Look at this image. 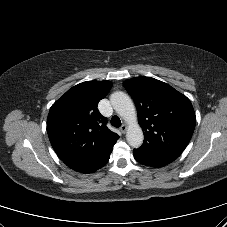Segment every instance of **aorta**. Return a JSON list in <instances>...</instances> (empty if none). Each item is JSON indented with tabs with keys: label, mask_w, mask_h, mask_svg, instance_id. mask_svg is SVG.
<instances>
[{
	"label": "aorta",
	"mask_w": 227,
	"mask_h": 227,
	"mask_svg": "<svg viewBox=\"0 0 227 227\" xmlns=\"http://www.w3.org/2000/svg\"><path fill=\"white\" fill-rule=\"evenodd\" d=\"M114 110L128 123L126 139L130 146L138 148L142 145L144 135L137 122V114L130 97L121 91L114 92L110 96Z\"/></svg>",
	"instance_id": "762f6f07"
}]
</instances>
